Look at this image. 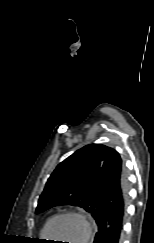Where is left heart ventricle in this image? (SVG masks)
I'll return each instance as SVG.
<instances>
[{
  "label": "left heart ventricle",
  "mask_w": 154,
  "mask_h": 243,
  "mask_svg": "<svg viewBox=\"0 0 154 243\" xmlns=\"http://www.w3.org/2000/svg\"><path fill=\"white\" fill-rule=\"evenodd\" d=\"M49 235L57 239H70L69 243H79L83 235L81 222L73 217H62L54 221ZM62 243L61 241H56Z\"/></svg>",
  "instance_id": "b2bd125f"
}]
</instances>
